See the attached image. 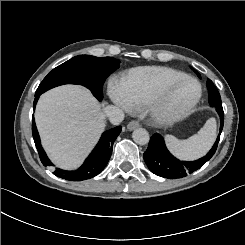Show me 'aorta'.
Instances as JSON below:
<instances>
[{
    "label": "aorta",
    "mask_w": 245,
    "mask_h": 245,
    "mask_svg": "<svg viewBox=\"0 0 245 245\" xmlns=\"http://www.w3.org/2000/svg\"><path fill=\"white\" fill-rule=\"evenodd\" d=\"M132 138L139 145H146L149 142V133L144 128H138L133 131Z\"/></svg>",
    "instance_id": "aorta-1"
}]
</instances>
